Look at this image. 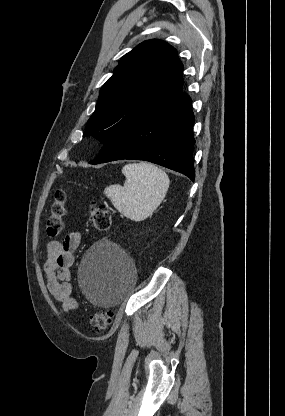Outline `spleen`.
<instances>
[{
	"label": "spleen",
	"mask_w": 285,
	"mask_h": 416,
	"mask_svg": "<svg viewBox=\"0 0 285 416\" xmlns=\"http://www.w3.org/2000/svg\"><path fill=\"white\" fill-rule=\"evenodd\" d=\"M122 174L126 178L124 186H107L104 194L120 214L133 222H142L163 202L170 180L163 170L146 162L127 164Z\"/></svg>",
	"instance_id": "3e777b00"
}]
</instances>
